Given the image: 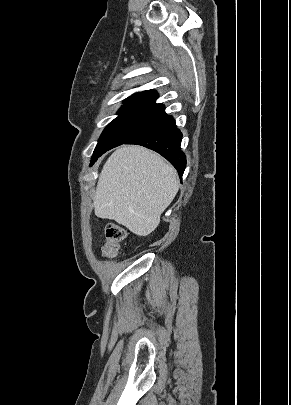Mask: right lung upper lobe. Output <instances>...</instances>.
<instances>
[{
  "instance_id": "obj_1",
  "label": "right lung upper lobe",
  "mask_w": 291,
  "mask_h": 405,
  "mask_svg": "<svg viewBox=\"0 0 291 405\" xmlns=\"http://www.w3.org/2000/svg\"><path fill=\"white\" fill-rule=\"evenodd\" d=\"M158 98V94L154 90H147L143 92H138L130 97H128L125 102L129 101H145V102H151L154 103L156 99Z\"/></svg>"
}]
</instances>
